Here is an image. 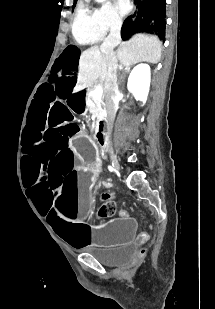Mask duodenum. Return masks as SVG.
Instances as JSON below:
<instances>
[{"label":"duodenum","mask_w":215,"mask_h":309,"mask_svg":"<svg viewBox=\"0 0 215 309\" xmlns=\"http://www.w3.org/2000/svg\"><path fill=\"white\" fill-rule=\"evenodd\" d=\"M96 139H97L98 145L102 149H106L107 141H106L105 132H104V128H103V121L99 122V128H98V131H97V134H96Z\"/></svg>","instance_id":"1"}]
</instances>
